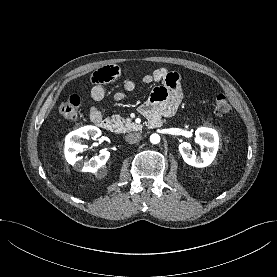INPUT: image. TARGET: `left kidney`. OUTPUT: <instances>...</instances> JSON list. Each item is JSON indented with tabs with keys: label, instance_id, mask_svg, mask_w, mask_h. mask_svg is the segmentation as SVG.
<instances>
[{
	"label": "left kidney",
	"instance_id": "5707ae66",
	"mask_svg": "<svg viewBox=\"0 0 277 277\" xmlns=\"http://www.w3.org/2000/svg\"><path fill=\"white\" fill-rule=\"evenodd\" d=\"M195 141L206 148V152L196 156L191 153V145L183 142L179 145V151L183 160L194 167H206L210 165L217 153L219 146V137L216 130L212 128L200 127L195 131Z\"/></svg>",
	"mask_w": 277,
	"mask_h": 277
}]
</instances>
